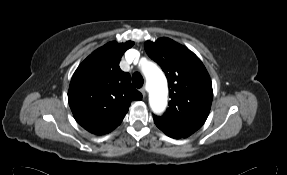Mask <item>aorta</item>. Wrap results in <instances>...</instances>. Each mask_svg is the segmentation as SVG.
<instances>
[{"instance_id":"1","label":"aorta","mask_w":287,"mask_h":175,"mask_svg":"<svg viewBox=\"0 0 287 175\" xmlns=\"http://www.w3.org/2000/svg\"><path fill=\"white\" fill-rule=\"evenodd\" d=\"M142 72L150 87V107L154 113L160 114L167 105L168 88L166 78L161 69L152 62L145 63Z\"/></svg>"}]
</instances>
